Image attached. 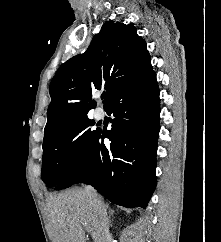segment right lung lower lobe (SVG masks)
Returning <instances> with one entry per match:
<instances>
[{
	"label": "right lung lower lobe",
	"instance_id": "right-lung-lower-lobe-1",
	"mask_svg": "<svg viewBox=\"0 0 221 242\" xmlns=\"http://www.w3.org/2000/svg\"><path fill=\"white\" fill-rule=\"evenodd\" d=\"M105 110L114 115L112 129L96 133L55 189L90 184L115 204L145 208L156 186L160 99L155 72L122 89Z\"/></svg>",
	"mask_w": 221,
	"mask_h": 242
}]
</instances>
